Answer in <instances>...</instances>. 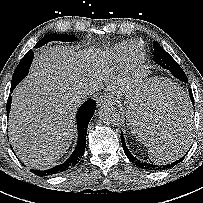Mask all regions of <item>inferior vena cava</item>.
Segmentation results:
<instances>
[{"mask_svg": "<svg viewBox=\"0 0 203 203\" xmlns=\"http://www.w3.org/2000/svg\"><path fill=\"white\" fill-rule=\"evenodd\" d=\"M89 93H90L89 89H80L75 93V100L77 102H81L83 99L87 98Z\"/></svg>", "mask_w": 203, "mask_h": 203, "instance_id": "602c4592", "label": "inferior vena cava"}]
</instances>
